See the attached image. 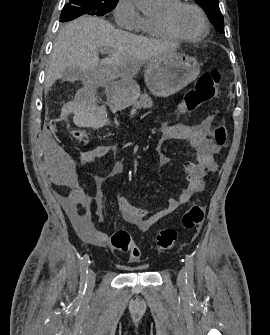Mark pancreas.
<instances>
[{"instance_id":"obj_1","label":"pancreas","mask_w":270,"mask_h":335,"mask_svg":"<svg viewBox=\"0 0 270 335\" xmlns=\"http://www.w3.org/2000/svg\"><path fill=\"white\" fill-rule=\"evenodd\" d=\"M102 72V70H100ZM153 102L149 98V94H143L138 102H133V110H141V108H151Z\"/></svg>"}]
</instances>
